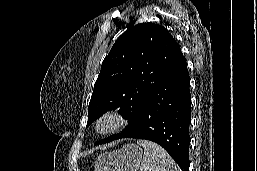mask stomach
Wrapping results in <instances>:
<instances>
[{
  "mask_svg": "<svg viewBox=\"0 0 257 171\" xmlns=\"http://www.w3.org/2000/svg\"><path fill=\"white\" fill-rule=\"evenodd\" d=\"M142 162V150L127 144L120 150L103 153L95 162V171H138Z\"/></svg>",
  "mask_w": 257,
  "mask_h": 171,
  "instance_id": "stomach-1",
  "label": "stomach"
}]
</instances>
